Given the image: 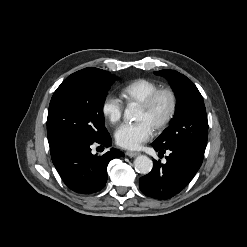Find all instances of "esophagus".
<instances>
[{"label": "esophagus", "instance_id": "1", "mask_svg": "<svg viewBox=\"0 0 247 247\" xmlns=\"http://www.w3.org/2000/svg\"><path fill=\"white\" fill-rule=\"evenodd\" d=\"M140 153L139 152H134V151H127L126 152V155L129 156V157H135L137 155H139Z\"/></svg>", "mask_w": 247, "mask_h": 247}]
</instances>
